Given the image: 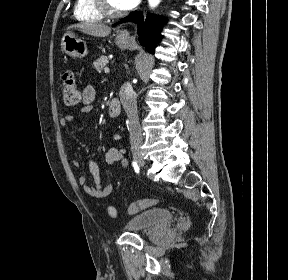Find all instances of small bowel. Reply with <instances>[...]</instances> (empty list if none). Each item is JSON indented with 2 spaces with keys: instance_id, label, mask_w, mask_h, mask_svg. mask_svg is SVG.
Wrapping results in <instances>:
<instances>
[{
  "instance_id": "c3829d8e",
  "label": "small bowel",
  "mask_w": 288,
  "mask_h": 280,
  "mask_svg": "<svg viewBox=\"0 0 288 280\" xmlns=\"http://www.w3.org/2000/svg\"><path fill=\"white\" fill-rule=\"evenodd\" d=\"M95 97V90L92 86H87L81 95V107L79 113L81 115L89 114L92 110V102ZM75 120V116L68 114L60 120L63 127L69 126ZM113 139L118 143L117 147L110 148L105 154V161L107 164H114L120 162L124 169L127 168V161L124 158V149L121 145V135L119 133L113 134ZM74 166L78 167L79 162L74 161ZM88 169L94 180V185L88 184V179L85 176L78 178V184L82 187L83 191L91 197L103 199L109 196L113 190L112 185L103 186L100 177V168L98 164L92 160H88Z\"/></svg>"
}]
</instances>
